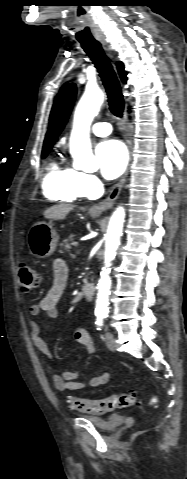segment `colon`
<instances>
[{
    "instance_id": "obj_1",
    "label": "colon",
    "mask_w": 187,
    "mask_h": 479,
    "mask_svg": "<svg viewBox=\"0 0 187 479\" xmlns=\"http://www.w3.org/2000/svg\"><path fill=\"white\" fill-rule=\"evenodd\" d=\"M20 288L24 292L31 291L40 283V274L27 263H20L17 268ZM157 398H151V404L156 405ZM69 403L72 409L93 414H105L116 408L129 407L138 403L137 393L135 391H126L115 393L104 399H82L78 397H69Z\"/></svg>"
}]
</instances>
